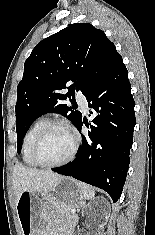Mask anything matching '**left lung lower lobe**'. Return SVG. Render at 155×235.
Here are the masks:
<instances>
[{
	"instance_id": "left-lung-lower-lobe-1",
	"label": "left lung lower lobe",
	"mask_w": 155,
	"mask_h": 235,
	"mask_svg": "<svg viewBox=\"0 0 155 235\" xmlns=\"http://www.w3.org/2000/svg\"><path fill=\"white\" fill-rule=\"evenodd\" d=\"M94 115L88 136L71 163L53 168L106 191L114 202L122 193L130 163L135 126L128 71L119 57L103 80L86 96ZM82 118L77 129L81 132Z\"/></svg>"
}]
</instances>
